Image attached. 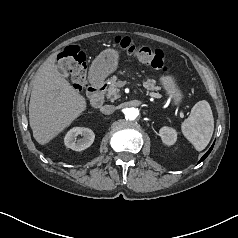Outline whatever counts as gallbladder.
Returning <instances> with one entry per match:
<instances>
[{
	"label": "gallbladder",
	"instance_id": "obj_1",
	"mask_svg": "<svg viewBox=\"0 0 238 238\" xmlns=\"http://www.w3.org/2000/svg\"><path fill=\"white\" fill-rule=\"evenodd\" d=\"M58 68V71H59V73L62 75V76H64V77H67L68 76V73H67V71L63 68V67H57Z\"/></svg>",
	"mask_w": 238,
	"mask_h": 238
}]
</instances>
